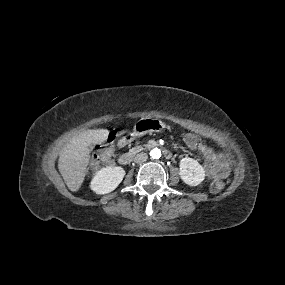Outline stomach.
Returning a JSON list of instances; mask_svg holds the SVG:
<instances>
[{"mask_svg": "<svg viewBox=\"0 0 285 285\" xmlns=\"http://www.w3.org/2000/svg\"><path fill=\"white\" fill-rule=\"evenodd\" d=\"M155 125L162 126V123L160 121H156L155 119L149 118L139 120L135 127V136H142L146 133L156 131L154 127ZM145 126L147 127L145 128Z\"/></svg>", "mask_w": 285, "mask_h": 285, "instance_id": "stomach-1", "label": "stomach"}]
</instances>
